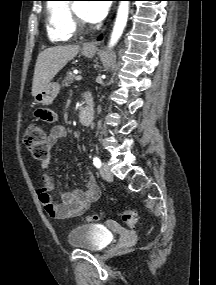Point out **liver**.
Here are the masks:
<instances>
[{"label": "liver", "mask_w": 216, "mask_h": 285, "mask_svg": "<svg viewBox=\"0 0 216 285\" xmlns=\"http://www.w3.org/2000/svg\"><path fill=\"white\" fill-rule=\"evenodd\" d=\"M78 45L54 46L40 52L35 64L32 96L41 92L79 52Z\"/></svg>", "instance_id": "6515ba94"}]
</instances>
